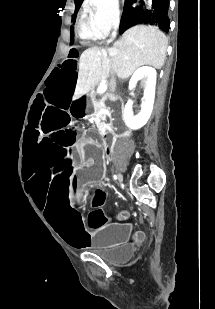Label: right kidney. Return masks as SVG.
<instances>
[{"mask_svg": "<svg viewBox=\"0 0 215 309\" xmlns=\"http://www.w3.org/2000/svg\"><path fill=\"white\" fill-rule=\"evenodd\" d=\"M144 76L147 78L143 96L145 100L141 104L140 112H138V114H133V100H127V104H125V108L123 110V118L127 126H130V128H141L143 124H146L153 110L157 78L155 68H152V66H140V68H137L129 80V88H133L137 80L144 78Z\"/></svg>", "mask_w": 215, "mask_h": 309, "instance_id": "1", "label": "right kidney"}]
</instances>
